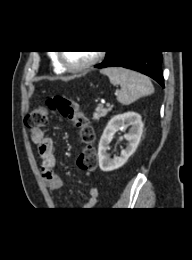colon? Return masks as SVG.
Returning a JSON list of instances; mask_svg holds the SVG:
<instances>
[{"label": "colon", "instance_id": "1", "mask_svg": "<svg viewBox=\"0 0 192 260\" xmlns=\"http://www.w3.org/2000/svg\"><path fill=\"white\" fill-rule=\"evenodd\" d=\"M50 111H57L62 116L70 118L75 122L76 127L79 129L80 141L85 145L82 153L78 157L77 164L82 170H93L96 165V151L93 146L95 135L77 102L65 96L49 98L46 106L36 107L27 116L26 125L28 130L33 134L45 126Z\"/></svg>", "mask_w": 192, "mask_h": 260}]
</instances>
